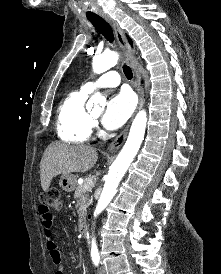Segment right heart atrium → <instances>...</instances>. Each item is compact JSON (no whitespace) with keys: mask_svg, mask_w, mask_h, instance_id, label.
<instances>
[{"mask_svg":"<svg viewBox=\"0 0 221 274\" xmlns=\"http://www.w3.org/2000/svg\"><path fill=\"white\" fill-rule=\"evenodd\" d=\"M92 127H93V128H96V127H97L96 122H93Z\"/></svg>","mask_w":221,"mask_h":274,"instance_id":"d8ad5b80","label":"right heart atrium"}]
</instances>
